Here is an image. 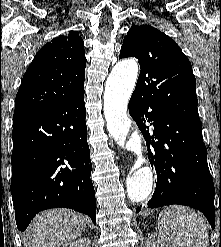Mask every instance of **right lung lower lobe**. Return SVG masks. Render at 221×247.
I'll list each match as a JSON object with an SVG mask.
<instances>
[{"label":"right lung lower lobe","mask_w":221,"mask_h":247,"mask_svg":"<svg viewBox=\"0 0 221 247\" xmlns=\"http://www.w3.org/2000/svg\"><path fill=\"white\" fill-rule=\"evenodd\" d=\"M85 115L82 96L13 119L11 194L20 231L37 213L56 207L87 214L96 223Z\"/></svg>","instance_id":"1"}]
</instances>
